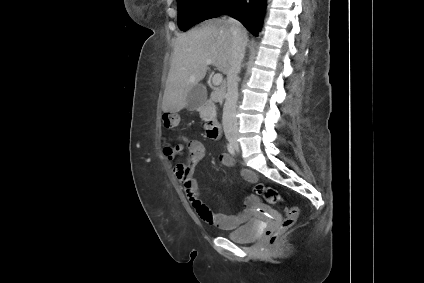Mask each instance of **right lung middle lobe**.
I'll return each mask as SVG.
<instances>
[{"label": "right lung middle lobe", "instance_id": "obj_1", "mask_svg": "<svg viewBox=\"0 0 424 283\" xmlns=\"http://www.w3.org/2000/svg\"><path fill=\"white\" fill-rule=\"evenodd\" d=\"M178 26L186 31L192 26L225 14L234 0H177Z\"/></svg>", "mask_w": 424, "mask_h": 283}]
</instances>
